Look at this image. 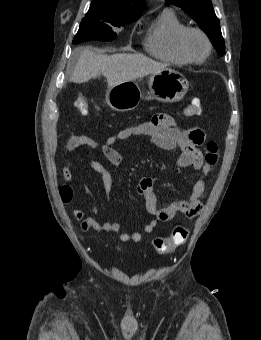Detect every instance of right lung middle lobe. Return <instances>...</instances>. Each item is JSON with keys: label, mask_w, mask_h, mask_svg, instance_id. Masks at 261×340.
<instances>
[{"label": "right lung middle lobe", "mask_w": 261, "mask_h": 340, "mask_svg": "<svg viewBox=\"0 0 261 340\" xmlns=\"http://www.w3.org/2000/svg\"><path fill=\"white\" fill-rule=\"evenodd\" d=\"M138 18L118 17L99 10H90L82 19L73 43L88 40L109 41L116 37L115 27L125 26Z\"/></svg>", "instance_id": "right-lung-middle-lobe-1"}]
</instances>
